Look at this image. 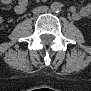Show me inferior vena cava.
Wrapping results in <instances>:
<instances>
[{
	"label": "inferior vena cava",
	"mask_w": 91,
	"mask_h": 91,
	"mask_svg": "<svg viewBox=\"0 0 91 91\" xmlns=\"http://www.w3.org/2000/svg\"><path fill=\"white\" fill-rule=\"evenodd\" d=\"M47 10H48L47 6H40V7L35 8L33 10V13L34 14L44 13V12H47Z\"/></svg>",
	"instance_id": "inferior-vena-cava-1"
}]
</instances>
